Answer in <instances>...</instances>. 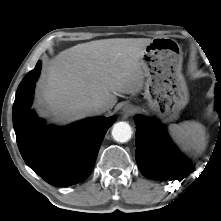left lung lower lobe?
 <instances>
[{"mask_svg": "<svg viewBox=\"0 0 221 221\" xmlns=\"http://www.w3.org/2000/svg\"><path fill=\"white\" fill-rule=\"evenodd\" d=\"M215 94V107L221 115L220 84L216 85ZM136 125L135 156L145 177L158 181H180L194 171L193 164L173 145L157 120L137 116ZM217 143H221L219 135Z\"/></svg>", "mask_w": 221, "mask_h": 221, "instance_id": "1", "label": "left lung lower lobe"}]
</instances>
